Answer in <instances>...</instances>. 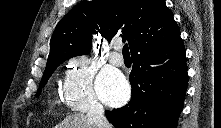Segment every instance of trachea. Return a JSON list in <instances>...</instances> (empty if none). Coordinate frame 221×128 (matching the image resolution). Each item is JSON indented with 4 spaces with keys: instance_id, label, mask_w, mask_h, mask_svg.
Segmentation results:
<instances>
[{
    "instance_id": "1",
    "label": "trachea",
    "mask_w": 221,
    "mask_h": 128,
    "mask_svg": "<svg viewBox=\"0 0 221 128\" xmlns=\"http://www.w3.org/2000/svg\"><path fill=\"white\" fill-rule=\"evenodd\" d=\"M122 53L124 57H130L129 48L127 44H124Z\"/></svg>"
}]
</instances>
